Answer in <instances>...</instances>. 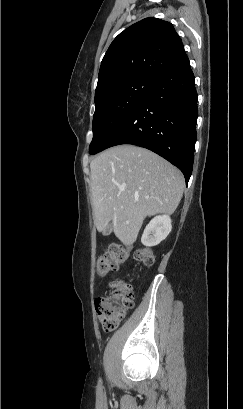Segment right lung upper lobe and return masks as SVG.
<instances>
[{
	"mask_svg": "<svg viewBox=\"0 0 243 409\" xmlns=\"http://www.w3.org/2000/svg\"><path fill=\"white\" fill-rule=\"evenodd\" d=\"M185 55L171 23L145 18L121 32L109 46L99 70L95 100L114 85L133 78L158 81Z\"/></svg>",
	"mask_w": 243,
	"mask_h": 409,
	"instance_id": "1",
	"label": "right lung upper lobe"
}]
</instances>
